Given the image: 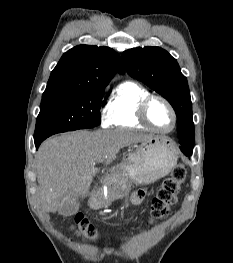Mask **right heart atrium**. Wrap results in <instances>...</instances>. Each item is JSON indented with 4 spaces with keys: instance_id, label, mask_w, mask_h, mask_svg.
I'll return each instance as SVG.
<instances>
[{
    "instance_id": "d8ad5b80",
    "label": "right heart atrium",
    "mask_w": 233,
    "mask_h": 263,
    "mask_svg": "<svg viewBox=\"0 0 233 263\" xmlns=\"http://www.w3.org/2000/svg\"><path fill=\"white\" fill-rule=\"evenodd\" d=\"M101 126L103 128H107L109 126V114H108V111L107 110H103L101 112Z\"/></svg>"
}]
</instances>
